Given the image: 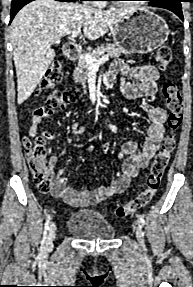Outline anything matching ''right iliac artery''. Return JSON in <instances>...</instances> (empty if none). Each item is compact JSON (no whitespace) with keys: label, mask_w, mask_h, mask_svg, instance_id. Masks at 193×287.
<instances>
[{"label":"right iliac artery","mask_w":193,"mask_h":287,"mask_svg":"<svg viewBox=\"0 0 193 287\" xmlns=\"http://www.w3.org/2000/svg\"><path fill=\"white\" fill-rule=\"evenodd\" d=\"M49 224H50V217L46 220L45 226H44V237L43 240L45 241L47 238V232L49 230Z\"/></svg>","instance_id":"obj_1"}]
</instances>
